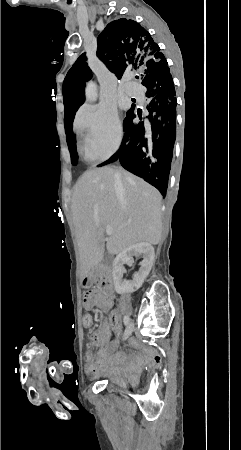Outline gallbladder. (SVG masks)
Returning a JSON list of instances; mask_svg holds the SVG:
<instances>
[{
    "instance_id": "bac80fb5",
    "label": "gallbladder",
    "mask_w": 241,
    "mask_h": 450,
    "mask_svg": "<svg viewBox=\"0 0 241 450\" xmlns=\"http://www.w3.org/2000/svg\"><path fill=\"white\" fill-rule=\"evenodd\" d=\"M110 258H111V256H108V254H105L103 264H109Z\"/></svg>"
}]
</instances>
